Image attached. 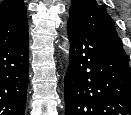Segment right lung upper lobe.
Instances as JSON below:
<instances>
[{"instance_id":"obj_1","label":"right lung upper lobe","mask_w":131,"mask_h":115,"mask_svg":"<svg viewBox=\"0 0 131 115\" xmlns=\"http://www.w3.org/2000/svg\"><path fill=\"white\" fill-rule=\"evenodd\" d=\"M26 8L23 0L0 3V49L19 43L28 35Z\"/></svg>"}]
</instances>
